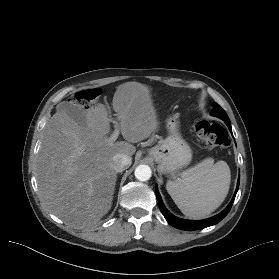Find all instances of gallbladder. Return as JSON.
Returning a JSON list of instances; mask_svg holds the SVG:
<instances>
[{
	"label": "gallbladder",
	"mask_w": 279,
	"mask_h": 279,
	"mask_svg": "<svg viewBox=\"0 0 279 279\" xmlns=\"http://www.w3.org/2000/svg\"><path fill=\"white\" fill-rule=\"evenodd\" d=\"M60 107L66 109L67 114L79 125H85L86 113L85 110L77 105L70 104L68 102H63Z\"/></svg>",
	"instance_id": "1"
}]
</instances>
